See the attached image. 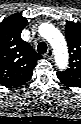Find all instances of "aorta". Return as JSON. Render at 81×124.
I'll return each mask as SVG.
<instances>
[{"label": "aorta", "instance_id": "aorta-1", "mask_svg": "<svg viewBox=\"0 0 81 124\" xmlns=\"http://www.w3.org/2000/svg\"><path fill=\"white\" fill-rule=\"evenodd\" d=\"M39 33L46 38L53 48L55 62L59 69H65L68 64V49L66 41L61 32L53 25L43 23L39 26Z\"/></svg>", "mask_w": 81, "mask_h": 124}]
</instances>
